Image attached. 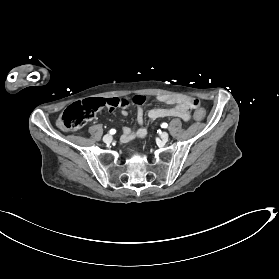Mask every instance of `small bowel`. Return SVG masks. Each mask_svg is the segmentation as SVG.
<instances>
[{
	"mask_svg": "<svg viewBox=\"0 0 279 279\" xmlns=\"http://www.w3.org/2000/svg\"><path fill=\"white\" fill-rule=\"evenodd\" d=\"M159 101L171 105L168 108H154L149 111L148 115L151 120H156L165 117H179L184 121L190 119V110L192 109L182 98H174L169 95H159L157 98ZM127 111L123 110L122 115L127 116ZM137 120L139 124H143V111L141 108L137 110ZM147 135V131L144 128L133 130L131 127L123 128L121 135V142H128L136 137L144 138Z\"/></svg>",
	"mask_w": 279,
	"mask_h": 279,
	"instance_id": "c3829d8e",
	"label": "small bowel"
}]
</instances>
